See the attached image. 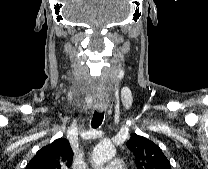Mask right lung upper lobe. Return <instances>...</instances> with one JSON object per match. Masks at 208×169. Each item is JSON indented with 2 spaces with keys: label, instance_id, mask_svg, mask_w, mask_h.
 <instances>
[{
  "label": "right lung upper lobe",
  "instance_id": "cb5924a9",
  "mask_svg": "<svg viewBox=\"0 0 208 169\" xmlns=\"http://www.w3.org/2000/svg\"><path fill=\"white\" fill-rule=\"evenodd\" d=\"M73 160V151L65 138L46 145L31 159L25 169H68Z\"/></svg>",
  "mask_w": 208,
  "mask_h": 169
}]
</instances>
